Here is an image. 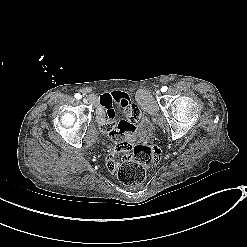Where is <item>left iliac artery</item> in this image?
<instances>
[{"label":"left iliac artery","instance_id":"1","mask_svg":"<svg viewBox=\"0 0 247 247\" xmlns=\"http://www.w3.org/2000/svg\"><path fill=\"white\" fill-rule=\"evenodd\" d=\"M167 89H168L167 86H163V87L161 88V91H162V92H166Z\"/></svg>","mask_w":247,"mask_h":247}]
</instances>
